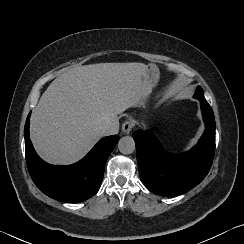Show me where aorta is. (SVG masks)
Returning a JSON list of instances; mask_svg holds the SVG:
<instances>
[{
    "instance_id": "762f6f07",
    "label": "aorta",
    "mask_w": 244,
    "mask_h": 244,
    "mask_svg": "<svg viewBox=\"0 0 244 244\" xmlns=\"http://www.w3.org/2000/svg\"><path fill=\"white\" fill-rule=\"evenodd\" d=\"M118 149L122 154H132L135 151V141L131 136H124L119 140Z\"/></svg>"
}]
</instances>
